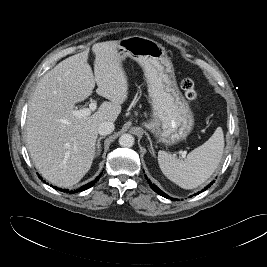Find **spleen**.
Returning a JSON list of instances; mask_svg holds the SVG:
<instances>
[{
  "mask_svg": "<svg viewBox=\"0 0 267 267\" xmlns=\"http://www.w3.org/2000/svg\"><path fill=\"white\" fill-rule=\"evenodd\" d=\"M223 150L224 134L218 127L204 144L192 150L184 160L160 150L158 164L169 180L181 188L193 189L212 176L221 161Z\"/></svg>",
  "mask_w": 267,
  "mask_h": 267,
  "instance_id": "obj_1",
  "label": "spleen"
}]
</instances>
